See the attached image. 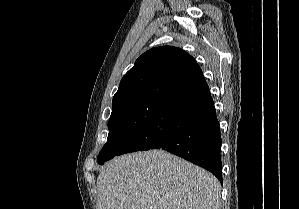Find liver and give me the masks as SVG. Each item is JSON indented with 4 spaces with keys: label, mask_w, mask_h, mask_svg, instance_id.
Wrapping results in <instances>:
<instances>
[{
    "label": "liver",
    "mask_w": 299,
    "mask_h": 209,
    "mask_svg": "<svg viewBox=\"0 0 299 209\" xmlns=\"http://www.w3.org/2000/svg\"><path fill=\"white\" fill-rule=\"evenodd\" d=\"M98 209H220L221 186L210 172L164 150L109 162L97 178Z\"/></svg>",
    "instance_id": "6515ba94"
}]
</instances>
